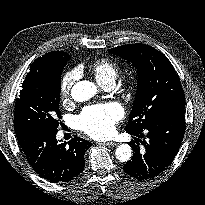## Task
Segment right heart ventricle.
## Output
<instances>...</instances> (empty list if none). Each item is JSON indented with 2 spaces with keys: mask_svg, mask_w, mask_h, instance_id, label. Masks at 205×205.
<instances>
[{
  "mask_svg": "<svg viewBox=\"0 0 205 205\" xmlns=\"http://www.w3.org/2000/svg\"><path fill=\"white\" fill-rule=\"evenodd\" d=\"M91 71L103 85L114 83L120 72L119 64L110 58H100L91 65Z\"/></svg>",
  "mask_w": 205,
  "mask_h": 205,
  "instance_id": "right-heart-ventricle-1",
  "label": "right heart ventricle"
}]
</instances>
